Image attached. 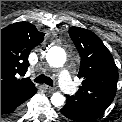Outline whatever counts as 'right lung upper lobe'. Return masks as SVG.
Returning a JSON list of instances; mask_svg holds the SVG:
<instances>
[{
  "label": "right lung upper lobe",
  "instance_id": "obj_1",
  "mask_svg": "<svg viewBox=\"0 0 122 122\" xmlns=\"http://www.w3.org/2000/svg\"><path fill=\"white\" fill-rule=\"evenodd\" d=\"M44 35L28 22H17L1 30V94L23 95L36 90L30 79L18 76L26 73L29 53L44 40Z\"/></svg>",
  "mask_w": 122,
  "mask_h": 122
}]
</instances>
